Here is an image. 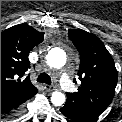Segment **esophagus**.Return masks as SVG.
Instances as JSON below:
<instances>
[{"label":"esophagus","mask_w":122,"mask_h":122,"mask_svg":"<svg viewBox=\"0 0 122 122\" xmlns=\"http://www.w3.org/2000/svg\"><path fill=\"white\" fill-rule=\"evenodd\" d=\"M44 88L47 91H53L55 89V86H53V85H44Z\"/></svg>","instance_id":"34e87169"}]
</instances>
